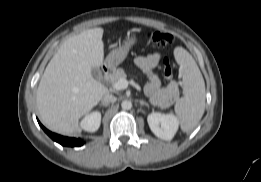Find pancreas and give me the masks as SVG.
<instances>
[{"label":"pancreas","mask_w":261,"mask_h":182,"mask_svg":"<svg viewBox=\"0 0 261 182\" xmlns=\"http://www.w3.org/2000/svg\"><path fill=\"white\" fill-rule=\"evenodd\" d=\"M126 73L122 68L115 69L110 75L109 80L112 84L116 83L122 78H126ZM178 97L177 93L170 89H162L156 97L150 98V103L158 106H169L173 100Z\"/></svg>","instance_id":"pancreas-1"}]
</instances>
